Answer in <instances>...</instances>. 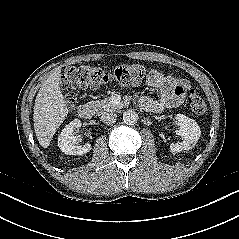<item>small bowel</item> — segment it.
<instances>
[{
  "label": "small bowel",
  "instance_id": "small-bowel-1",
  "mask_svg": "<svg viewBox=\"0 0 239 239\" xmlns=\"http://www.w3.org/2000/svg\"><path fill=\"white\" fill-rule=\"evenodd\" d=\"M147 85L159 91L157 99L144 96L141 106L150 112H160L165 108L178 106L189 87L187 81L165 76L156 69H151L147 77Z\"/></svg>",
  "mask_w": 239,
  "mask_h": 239
}]
</instances>
